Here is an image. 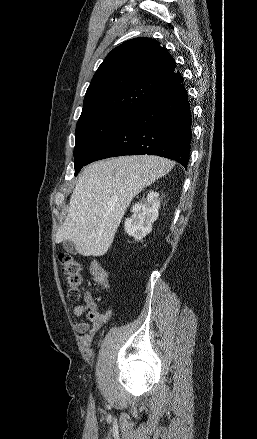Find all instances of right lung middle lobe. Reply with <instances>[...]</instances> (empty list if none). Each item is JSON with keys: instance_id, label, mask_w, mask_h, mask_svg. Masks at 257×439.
I'll list each match as a JSON object with an SVG mask.
<instances>
[{"instance_id": "right-lung-middle-lobe-1", "label": "right lung middle lobe", "mask_w": 257, "mask_h": 439, "mask_svg": "<svg viewBox=\"0 0 257 439\" xmlns=\"http://www.w3.org/2000/svg\"><path fill=\"white\" fill-rule=\"evenodd\" d=\"M127 117L116 113H96L80 116L76 126L74 148L75 175L100 143Z\"/></svg>"}]
</instances>
